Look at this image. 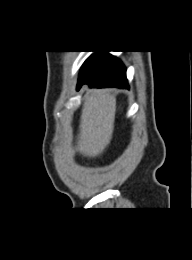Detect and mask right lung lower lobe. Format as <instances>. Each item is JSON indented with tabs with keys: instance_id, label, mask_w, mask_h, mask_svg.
<instances>
[{
	"instance_id": "right-lung-lower-lobe-1",
	"label": "right lung lower lobe",
	"mask_w": 192,
	"mask_h": 260,
	"mask_svg": "<svg viewBox=\"0 0 192 260\" xmlns=\"http://www.w3.org/2000/svg\"><path fill=\"white\" fill-rule=\"evenodd\" d=\"M83 84L97 88H129L124 65L107 53L95 54L85 61L79 75L77 90Z\"/></svg>"
}]
</instances>
